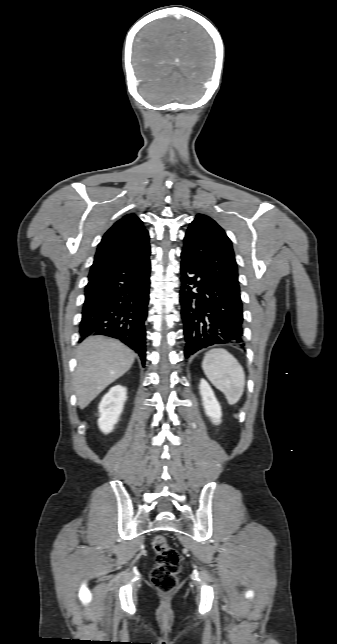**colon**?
<instances>
[{
	"mask_svg": "<svg viewBox=\"0 0 337 644\" xmlns=\"http://www.w3.org/2000/svg\"><path fill=\"white\" fill-rule=\"evenodd\" d=\"M152 547L156 554V565L151 572V581L159 591L169 593L177 586V575L181 562L180 554L167 543L162 535L153 538Z\"/></svg>",
	"mask_w": 337,
	"mask_h": 644,
	"instance_id": "colon-1",
	"label": "colon"
}]
</instances>
